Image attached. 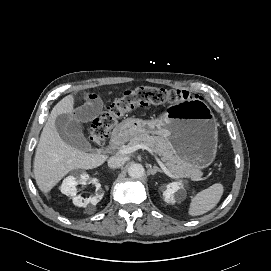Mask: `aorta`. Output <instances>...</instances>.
<instances>
[{"mask_svg": "<svg viewBox=\"0 0 271 271\" xmlns=\"http://www.w3.org/2000/svg\"><path fill=\"white\" fill-rule=\"evenodd\" d=\"M145 173L144 167L139 163L131 164L128 168V175L131 178H141Z\"/></svg>", "mask_w": 271, "mask_h": 271, "instance_id": "762f6f07", "label": "aorta"}]
</instances>
